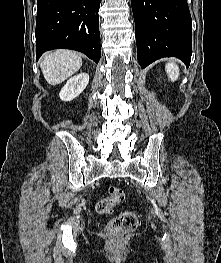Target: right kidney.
<instances>
[{
  "instance_id": "right-kidney-1",
  "label": "right kidney",
  "mask_w": 221,
  "mask_h": 263,
  "mask_svg": "<svg viewBox=\"0 0 221 263\" xmlns=\"http://www.w3.org/2000/svg\"><path fill=\"white\" fill-rule=\"evenodd\" d=\"M89 82L87 73H80L70 78L59 93V97L63 101H71L78 97L86 88Z\"/></svg>"
}]
</instances>
